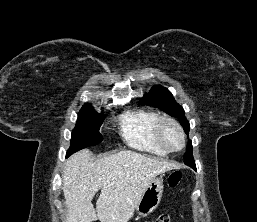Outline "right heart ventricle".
Returning <instances> with one entry per match:
<instances>
[{"instance_id": "obj_1", "label": "right heart ventricle", "mask_w": 257, "mask_h": 222, "mask_svg": "<svg viewBox=\"0 0 257 222\" xmlns=\"http://www.w3.org/2000/svg\"><path fill=\"white\" fill-rule=\"evenodd\" d=\"M159 115L150 110L138 109L126 112L120 121L121 132L126 142L143 151L165 156L167 151L155 136Z\"/></svg>"}]
</instances>
